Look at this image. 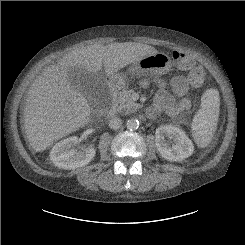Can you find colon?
Masks as SVG:
<instances>
[{"instance_id": "1", "label": "colon", "mask_w": 245, "mask_h": 245, "mask_svg": "<svg viewBox=\"0 0 245 245\" xmlns=\"http://www.w3.org/2000/svg\"><path fill=\"white\" fill-rule=\"evenodd\" d=\"M172 56L176 66L188 72V80L192 87H199L206 83L207 75L205 70L200 64L195 63L190 54L174 51Z\"/></svg>"}]
</instances>
